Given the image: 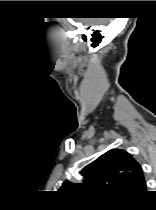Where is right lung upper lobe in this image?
<instances>
[{
	"label": "right lung upper lobe",
	"mask_w": 156,
	"mask_h": 210,
	"mask_svg": "<svg viewBox=\"0 0 156 210\" xmlns=\"http://www.w3.org/2000/svg\"><path fill=\"white\" fill-rule=\"evenodd\" d=\"M80 183L65 181L61 192L101 202H131L146 191L143 170L125 150L111 149L83 168Z\"/></svg>",
	"instance_id": "1"
}]
</instances>
